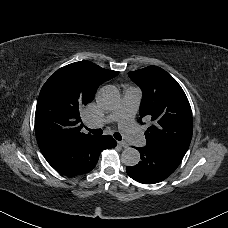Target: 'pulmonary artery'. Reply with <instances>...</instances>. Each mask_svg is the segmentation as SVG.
<instances>
[{
	"mask_svg": "<svg viewBox=\"0 0 228 228\" xmlns=\"http://www.w3.org/2000/svg\"><path fill=\"white\" fill-rule=\"evenodd\" d=\"M124 98L126 101L112 112V117H108L106 122L111 119L121 121L120 132L123 138L138 147H143L146 144V139L139 135L137 126L133 125L141 92L138 89H126Z\"/></svg>",
	"mask_w": 228,
	"mask_h": 228,
	"instance_id": "e3ab8cb5",
	"label": "pulmonary artery"
}]
</instances>
